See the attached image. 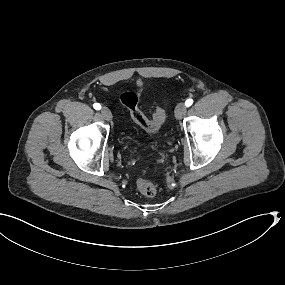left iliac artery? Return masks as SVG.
<instances>
[{"mask_svg":"<svg viewBox=\"0 0 285 285\" xmlns=\"http://www.w3.org/2000/svg\"><path fill=\"white\" fill-rule=\"evenodd\" d=\"M193 104V100L192 99H187L185 102L186 107H189Z\"/></svg>","mask_w":285,"mask_h":285,"instance_id":"44dca946","label":"left iliac artery"}]
</instances>
